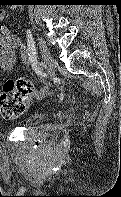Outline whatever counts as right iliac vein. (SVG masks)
<instances>
[{
	"mask_svg": "<svg viewBox=\"0 0 121 197\" xmlns=\"http://www.w3.org/2000/svg\"><path fill=\"white\" fill-rule=\"evenodd\" d=\"M37 41L41 51L44 68L49 74H51L54 68V60L52 58V55L41 37L37 36Z\"/></svg>",
	"mask_w": 121,
	"mask_h": 197,
	"instance_id": "63e3f726",
	"label": "right iliac vein"
}]
</instances>
